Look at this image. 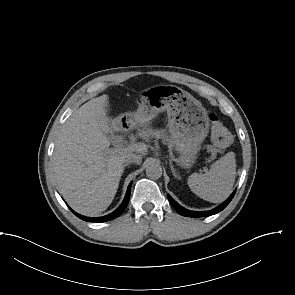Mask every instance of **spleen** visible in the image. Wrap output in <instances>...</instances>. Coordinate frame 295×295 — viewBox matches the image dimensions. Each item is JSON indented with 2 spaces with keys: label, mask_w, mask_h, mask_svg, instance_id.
Here are the masks:
<instances>
[{
  "label": "spleen",
  "mask_w": 295,
  "mask_h": 295,
  "mask_svg": "<svg viewBox=\"0 0 295 295\" xmlns=\"http://www.w3.org/2000/svg\"><path fill=\"white\" fill-rule=\"evenodd\" d=\"M235 176V154L228 152L215 161L205 174H191L188 178V185L191 191L203 200L219 203L231 194Z\"/></svg>",
  "instance_id": "3e777b00"
}]
</instances>
